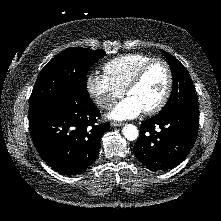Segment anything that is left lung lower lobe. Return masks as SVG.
I'll return each instance as SVG.
<instances>
[{"label":"left lung lower lobe","instance_id":"1","mask_svg":"<svg viewBox=\"0 0 221 221\" xmlns=\"http://www.w3.org/2000/svg\"><path fill=\"white\" fill-rule=\"evenodd\" d=\"M199 112L174 109L142 122L133 152L149 170L165 171L180 164L195 144Z\"/></svg>","mask_w":221,"mask_h":221}]
</instances>
